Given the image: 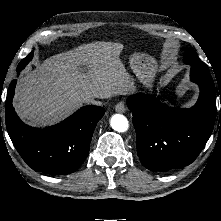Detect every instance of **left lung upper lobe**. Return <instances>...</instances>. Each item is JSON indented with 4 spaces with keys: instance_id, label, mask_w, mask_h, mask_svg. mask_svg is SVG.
<instances>
[{
    "instance_id": "5c2ea615",
    "label": "left lung upper lobe",
    "mask_w": 221,
    "mask_h": 221,
    "mask_svg": "<svg viewBox=\"0 0 221 221\" xmlns=\"http://www.w3.org/2000/svg\"><path fill=\"white\" fill-rule=\"evenodd\" d=\"M184 62L186 64L204 67L202 62L197 57L196 52L193 49L186 50L184 56Z\"/></svg>"
}]
</instances>
